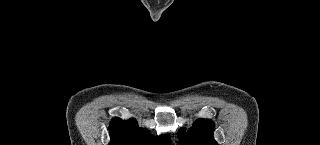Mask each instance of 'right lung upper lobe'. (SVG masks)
Here are the masks:
<instances>
[{
    "mask_svg": "<svg viewBox=\"0 0 320 145\" xmlns=\"http://www.w3.org/2000/svg\"><path fill=\"white\" fill-rule=\"evenodd\" d=\"M110 126V145H163L170 142L168 135L155 138L142 131L134 119L122 121L115 118Z\"/></svg>",
    "mask_w": 320,
    "mask_h": 145,
    "instance_id": "1",
    "label": "right lung upper lobe"
}]
</instances>
